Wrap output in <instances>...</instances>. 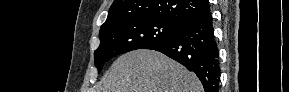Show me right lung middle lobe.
Returning <instances> with one entry per match:
<instances>
[{"instance_id":"1","label":"right lung middle lobe","mask_w":289,"mask_h":92,"mask_svg":"<svg viewBox=\"0 0 289 92\" xmlns=\"http://www.w3.org/2000/svg\"><path fill=\"white\" fill-rule=\"evenodd\" d=\"M182 23L144 17L116 22L100 29V45L94 53L95 66L100 72L103 65L119 54L145 49L174 36Z\"/></svg>"}]
</instances>
